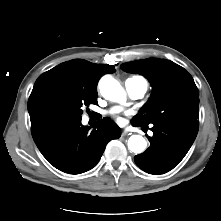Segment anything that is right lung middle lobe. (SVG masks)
Segmentation results:
<instances>
[{
    "instance_id": "1",
    "label": "right lung middle lobe",
    "mask_w": 221,
    "mask_h": 221,
    "mask_svg": "<svg viewBox=\"0 0 221 221\" xmlns=\"http://www.w3.org/2000/svg\"><path fill=\"white\" fill-rule=\"evenodd\" d=\"M96 92L83 90H68L58 94L52 101L53 117H81L82 107L97 104Z\"/></svg>"
}]
</instances>
